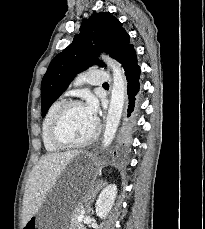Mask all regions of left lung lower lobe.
Listing matches in <instances>:
<instances>
[{
    "label": "left lung lower lobe",
    "instance_id": "left-lung-lower-lobe-1",
    "mask_svg": "<svg viewBox=\"0 0 205 229\" xmlns=\"http://www.w3.org/2000/svg\"><path fill=\"white\" fill-rule=\"evenodd\" d=\"M118 61L125 70L127 79V94H128V109L127 122L125 125L124 140L122 143L123 149H126L131 140V133L135 126V118L139 110L140 103V67L137 64L136 51L132 44H130L119 56Z\"/></svg>",
    "mask_w": 205,
    "mask_h": 229
}]
</instances>
